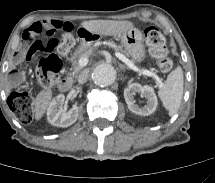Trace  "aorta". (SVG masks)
Returning a JSON list of instances; mask_svg holds the SVG:
<instances>
[{"mask_svg":"<svg viewBox=\"0 0 215 183\" xmlns=\"http://www.w3.org/2000/svg\"><path fill=\"white\" fill-rule=\"evenodd\" d=\"M116 79L115 68L106 63L97 65L92 72L93 82L100 87L111 85Z\"/></svg>","mask_w":215,"mask_h":183,"instance_id":"aorta-1","label":"aorta"}]
</instances>
